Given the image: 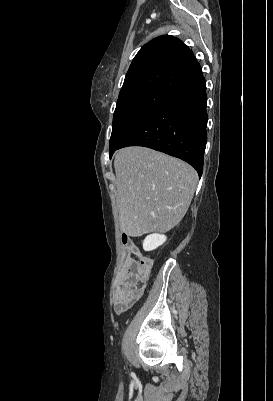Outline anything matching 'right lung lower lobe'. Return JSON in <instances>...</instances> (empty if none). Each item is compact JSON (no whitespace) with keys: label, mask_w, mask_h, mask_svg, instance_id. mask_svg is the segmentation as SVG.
<instances>
[{"label":"right lung lower lobe","mask_w":273,"mask_h":401,"mask_svg":"<svg viewBox=\"0 0 273 401\" xmlns=\"http://www.w3.org/2000/svg\"><path fill=\"white\" fill-rule=\"evenodd\" d=\"M206 106V85L202 74L169 93L118 149L149 147L188 162L201 176L207 142Z\"/></svg>","instance_id":"98d812e1"}]
</instances>
